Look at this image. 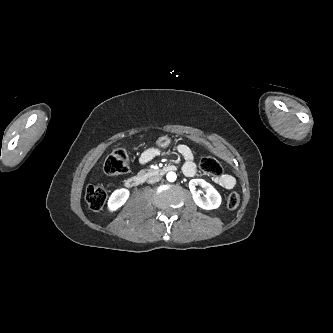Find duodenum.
I'll return each instance as SVG.
<instances>
[{"instance_id": "obj_1", "label": "duodenum", "mask_w": 333, "mask_h": 333, "mask_svg": "<svg viewBox=\"0 0 333 333\" xmlns=\"http://www.w3.org/2000/svg\"><path fill=\"white\" fill-rule=\"evenodd\" d=\"M174 169H175L174 166H168V167H162V168L151 170L148 174L130 176L125 180V186L128 188L138 187L144 183L147 176H149V177L163 176L166 173L173 171Z\"/></svg>"}]
</instances>
